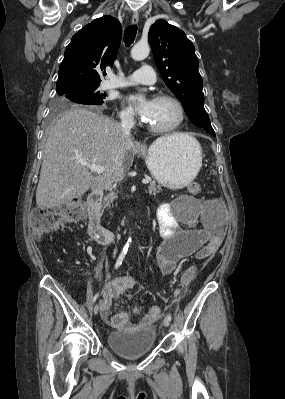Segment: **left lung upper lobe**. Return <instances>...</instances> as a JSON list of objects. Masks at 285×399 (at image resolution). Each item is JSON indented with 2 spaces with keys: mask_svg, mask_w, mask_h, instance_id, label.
Instances as JSON below:
<instances>
[{
  "mask_svg": "<svg viewBox=\"0 0 285 399\" xmlns=\"http://www.w3.org/2000/svg\"><path fill=\"white\" fill-rule=\"evenodd\" d=\"M149 43L163 81L180 100L189 119L215 134L204 108L203 82L194 45L182 30L164 20L150 27Z\"/></svg>",
  "mask_w": 285,
  "mask_h": 399,
  "instance_id": "obj_1",
  "label": "left lung upper lobe"
}]
</instances>
